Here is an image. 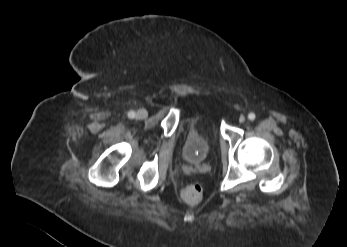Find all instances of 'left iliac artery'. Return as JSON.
<instances>
[{
    "label": "left iliac artery",
    "mask_w": 347,
    "mask_h": 247,
    "mask_svg": "<svg viewBox=\"0 0 347 247\" xmlns=\"http://www.w3.org/2000/svg\"><path fill=\"white\" fill-rule=\"evenodd\" d=\"M255 114L254 113H249L248 114V119L250 120V121H253L254 119H255Z\"/></svg>",
    "instance_id": "44dca946"
}]
</instances>
